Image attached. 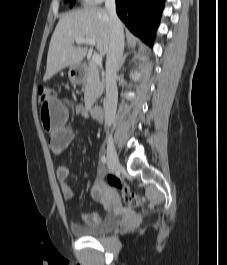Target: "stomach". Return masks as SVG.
<instances>
[{
    "instance_id": "stomach-1",
    "label": "stomach",
    "mask_w": 227,
    "mask_h": 265,
    "mask_svg": "<svg viewBox=\"0 0 227 265\" xmlns=\"http://www.w3.org/2000/svg\"><path fill=\"white\" fill-rule=\"evenodd\" d=\"M68 78L72 83H81L84 80L82 68L78 66H71L68 71Z\"/></svg>"
}]
</instances>
